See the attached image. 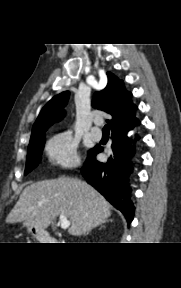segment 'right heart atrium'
I'll list each match as a JSON object with an SVG mask.
<instances>
[{
    "instance_id": "obj_1",
    "label": "right heart atrium",
    "mask_w": 181,
    "mask_h": 288,
    "mask_svg": "<svg viewBox=\"0 0 181 288\" xmlns=\"http://www.w3.org/2000/svg\"><path fill=\"white\" fill-rule=\"evenodd\" d=\"M46 155L51 164L60 168H72L78 165V142L68 131L54 134L46 144Z\"/></svg>"
}]
</instances>
